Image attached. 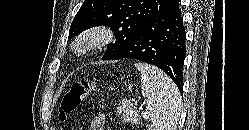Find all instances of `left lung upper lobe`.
I'll use <instances>...</instances> for the list:
<instances>
[{
  "mask_svg": "<svg viewBox=\"0 0 249 130\" xmlns=\"http://www.w3.org/2000/svg\"><path fill=\"white\" fill-rule=\"evenodd\" d=\"M174 0H85L73 19L69 38L100 25L112 28L116 41L103 60H110L125 47L141 27L169 8Z\"/></svg>",
  "mask_w": 249,
  "mask_h": 130,
  "instance_id": "obj_1",
  "label": "left lung upper lobe"
}]
</instances>
